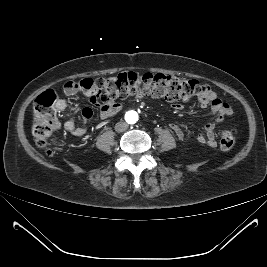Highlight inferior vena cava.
<instances>
[{
  "mask_svg": "<svg viewBox=\"0 0 267 267\" xmlns=\"http://www.w3.org/2000/svg\"><path fill=\"white\" fill-rule=\"evenodd\" d=\"M127 128H128V124L126 122H118L115 125V130L117 132H124L127 130Z\"/></svg>",
  "mask_w": 267,
  "mask_h": 267,
  "instance_id": "602c4592",
  "label": "inferior vena cava"
}]
</instances>
